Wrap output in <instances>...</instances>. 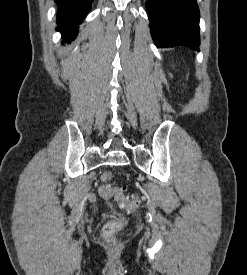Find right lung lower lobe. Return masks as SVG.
Returning a JSON list of instances; mask_svg holds the SVG:
<instances>
[{
  "label": "right lung lower lobe",
  "instance_id": "right-lung-lower-lobe-1",
  "mask_svg": "<svg viewBox=\"0 0 247 275\" xmlns=\"http://www.w3.org/2000/svg\"><path fill=\"white\" fill-rule=\"evenodd\" d=\"M57 12V30L61 32L65 42L72 41L77 34L78 24L91 10L93 0H55Z\"/></svg>",
  "mask_w": 247,
  "mask_h": 275
}]
</instances>
